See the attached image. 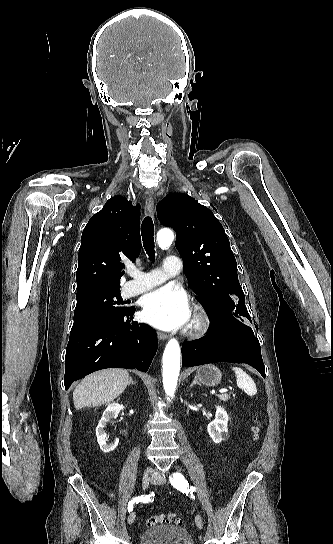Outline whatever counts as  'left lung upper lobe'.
I'll return each mask as SVG.
<instances>
[{
	"instance_id": "5c2ea615",
	"label": "left lung upper lobe",
	"mask_w": 333,
	"mask_h": 544,
	"mask_svg": "<svg viewBox=\"0 0 333 544\" xmlns=\"http://www.w3.org/2000/svg\"><path fill=\"white\" fill-rule=\"evenodd\" d=\"M157 215L176 231L188 285L206 304L214 323L251 321L235 257L213 212L186 194L173 193L157 204Z\"/></svg>"
}]
</instances>
